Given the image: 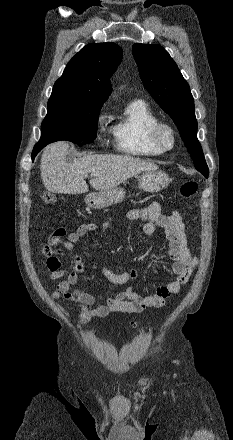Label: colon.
Returning a JSON list of instances; mask_svg holds the SVG:
<instances>
[{
	"label": "colon",
	"instance_id": "1",
	"mask_svg": "<svg viewBox=\"0 0 233 440\" xmlns=\"http://www.w3.org/2000/svg\"><path fill=\"white\" fill-rule=\"evenodd\" d=\"M198 190V183L195 180L184 181L179 189V193L184 198H190L196 194ZM46 204H53L55 202L54 196L50 193H44L42 196Z\"/></svg>",
	"mask_w": 233,
	"mask_h": 440
}]
</instances>
